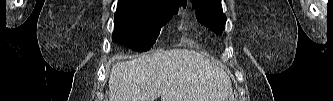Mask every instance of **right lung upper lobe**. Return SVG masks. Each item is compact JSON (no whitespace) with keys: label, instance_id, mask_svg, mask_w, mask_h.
<instances>
[{"label":"right lung upper lobe","instance_id":"cb5924a9","mask_svg":"<svg viewBox=\"0 0 333 101\" xmlns=\"http://www.w3.org/2000/svg\"><path fill=\"white\" fill-rule=\"evenodd\" d=\"M173 1L186 2V0H173Z\"/></svg>","mask_w":333,"mask_h":101}]
</instances>
